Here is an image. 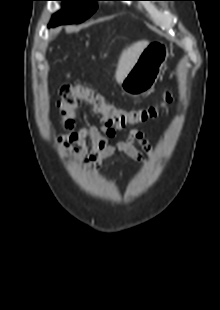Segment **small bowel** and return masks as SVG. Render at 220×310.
<instances>
[{"label":"small bowel","instance_id":"1","mask_svg":"<svg viewBox=\"0 0 220 310\" xmlns=\"http://www.w3.org/2000/svg\"><path fill=\"white\" fill-rule=\"evenodd\" d=\"M115 134L114 128L103 125L100 128L89 126L68 136L59 137L58 143L68 154L76 158L82 168H94L97 171L103 160L117 154H124L139 163H146L147 156L152 155L151 143L142 131L132 129L125 140L111 145L108 138L114 137ZM87 140L92 144L90 151L87 148ZM135 143H138L143 151L136 148Z\"/></svg>","mask_w":220,"mask_h":310}]
</instances>
